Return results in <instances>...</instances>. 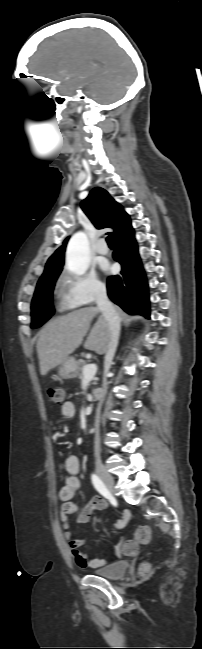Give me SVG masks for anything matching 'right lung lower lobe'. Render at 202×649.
<instances>
[{
    "instance_id": "98d812e1",
    "label": "right lung lower lobe",
    "mask_w": 202,
    "mask_h": 649,
    "mask_svg": "<svg viewBox=\"0 0 202 649\" xmlns=\"http://www.w3.org/2000/svg\"><path fill=\"white\" fill-rule=\"evenodd\" d=\"M114 241L113 259L121 264L122 270L119 275L108 277V296L128 314L149 318L147 280L133 229L117 236Z\"/></svg>"
}]
</instances>
